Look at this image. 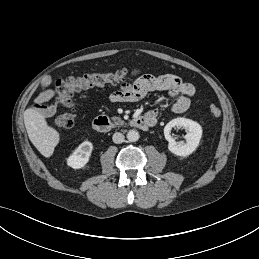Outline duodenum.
<instances>
[{"instance_id": "obj_1", "label": "duodenum", "mask_w": 259, "mask_h": 259, "mask_svg": "<svg viewBox=\"0 0 259 259\" xmlns=\"http://www.w3.org/2000/svg\"><path fill=\"white\" fill-rule=\"evenodd\" d=\"M155 123L156 119L148 116H139L131 121V125L139 129H147ZM93 128L98 132H108L113 128V125L108 117L98 116L93 120Z\"/></svg>"}]
</instances>
